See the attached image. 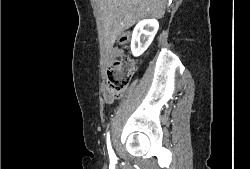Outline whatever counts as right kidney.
I'll return each mask as SVG.
<instances>
[{"label":"right kidney","mask_w":250,"mask_h":169,"mask_svg":"<svg viewBox=\"0 0 250 169\" xmlns=\"http://www.w3.org/2000/svg\"><path fill=\"white\" fill-rule=\"evenodd\" d=\"M158 28L159 22L156 18H144L136 24L131 38V50L134 56L143 54L151 44Z\"/></svg>","instance_id":"1"}]
</instances>
